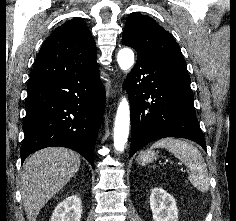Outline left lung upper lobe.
I'll list each match as a JSON object with an SVG mask.
<instances>
[{
	"label": "left lung upper lobe",
	"mask_w": 236,
	"mask_h": 221,
	"mask_svg": "<svg viewBox=\"0 0 236 221\" xmlns=\"http://www.w3.org/2000/svg\"><path fill=\"white\" fill-rule=\"evenodd\" d=\"M122 43L142 56L188 74L179 45L172 36L149 16L134 12L129 15ZM189 75V74H188Z\"/></svg>",
	"instance_id": "5c2ea615"
}]
</instances>
